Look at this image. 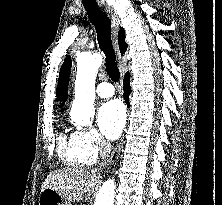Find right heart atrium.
Returning a JSON list of instances; mask_svg holds the SVG:
<instances>
[{"label": "right heart atrium", "instance_id": "obj_1", "mask_svg": "<svg viewBox=\"0 0 222 205\" xmlns=\"http://www.w3.org/2000/svg\"><path fill=\"white\" fill-rule=\"evenodd\" d=\"M73 138L87 163L96 161L107 149L105 141L92 128L75 131Z\"/></svg>", "mask_w": 222, "mask_h": 205}]
</instances>
